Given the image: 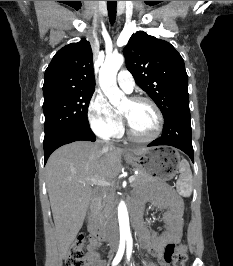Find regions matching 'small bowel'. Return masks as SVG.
Here are the masks:
<instances>
[{"label":"small bowel","instance_id":"c3829d8e","mask_svg":"<svg viewBox=\"0 0 233 266\" xmlns=\"http://www.w3.org/2000/svg\"><path fill=\"white\" fill-rule=\"evenodd\" d=\"M147 198H142L139 208ZM149 200L164 210V229L161 234L154 230H149L142 218L135 222L138 233L137 244L145 247L149 254L155 257L160 266H166L163 261V251L165 246L177 242L182 235L183 228V203L169 187H162ZM102 242L91 238L88 244V254L86 266H106L105 261L100 259L97 249Z\"/></svg>","mask_w":233,"mask_h":266}]
</instances>
